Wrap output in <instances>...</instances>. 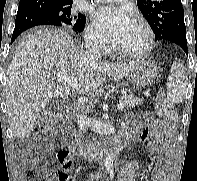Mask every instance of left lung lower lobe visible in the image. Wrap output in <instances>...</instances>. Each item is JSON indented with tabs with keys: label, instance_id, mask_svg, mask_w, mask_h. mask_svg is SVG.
<instances>
[{
	"label": "left lung lower lobe",
	"instance_id": "left-lung-lower-lobe-1",
	"mask_svg": "<svg viewBox=\"0 0 197 181\" xmlns=\"http://www.w3.org/2000/svg\"><path fill=\"white\" fill-rule=\"evenodd\" d=\"M170 41L180 45L181 48L184 50V52L188 55L186 34L174 35V36L171 37Z\"/></svg>",
	"mask_w": 197,
	"mask_h": 181
}]
</instances>
